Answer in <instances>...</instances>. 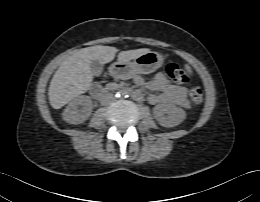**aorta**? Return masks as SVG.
Listing matches in <instances>:
<instances>
[{"label": "aorta", "mask_w": 260, "mask_h": 202, "mask_svg": "<svg viewBox=\"0 0 260 202\" xmlns=\"http://www.w3.org/2000/svg\"><path fill=\"white\" fill-rule=\"evenodd\" d=\"M127 94L128 93L125 90H121L118 92L117 96L118 97H127L128 96Z\"/></svg>", "instance_id": "1"}]
</instances>
